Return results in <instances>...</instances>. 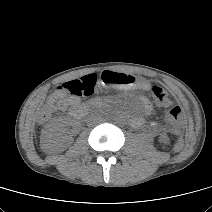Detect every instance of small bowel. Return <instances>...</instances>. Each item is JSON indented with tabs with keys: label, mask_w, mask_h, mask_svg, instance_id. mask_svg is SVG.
I'll list each match as a JSON object with an SVG mask.
<instances>
[{
	"label": "small bowel",
	"mask_w": 212,
	"mask_h": 212,
	"mask_svg": "<svg viewBox=\"0 0 212 212\" xmlns=\"http://www.w3.org/2000/svg\"><path fill=\"white\" fill-rule=\"evenodd\" d=\"M56 102L59 110H65L68 107L75 106L79 104V100L75 97L70 98H57L56 96H50L48 99V103ZM145 110H149L148 103H144Z\"/></svg>",
	"instance_id": "small-bowel-1"
}]
</instances>
